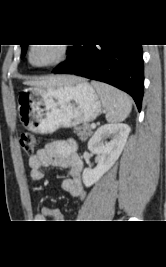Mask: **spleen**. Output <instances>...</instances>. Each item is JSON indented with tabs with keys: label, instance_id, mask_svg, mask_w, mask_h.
I'll use <instances>...</instances> for the list:
<instances>
[{
	"label": "spleen",
	"instance_id": "spleen-1",
	"mask_svg": "<svg viewBox=\"0 0 166 267\" xmlns=\"http://www.w3.org/2000/svg\"><path fill=\"white\" fill-rule=\"evenodd\" d=\"M106 110V120L117 123L125 120L132 109L130 97L124 92L104 83L92 82Z\"/></svg>",
	"mask_w": 166,
	"mask_h": 267
}]
</instances>
